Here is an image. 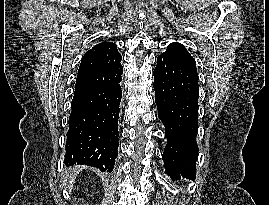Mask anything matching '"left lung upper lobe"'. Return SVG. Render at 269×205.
<instances>
[{"label": "left lung upper lobe", "instance_id": "left-lung-upper-lobe-1", "mask_svg": "<svg viewBox=\"0 0 269 205\" xmlns=\"http://www.w3.org/2000/svg\"><path fill=\"white\" fill-rule=\"evenodd\" d=\"M161 55L167 56L176 60L188 61L193 65H196L194 58L188 53L187 49L180 43L169 44L167 50Z\"/></svg>", "mask_w": 269, "mask_h": 205}]
</instances>
